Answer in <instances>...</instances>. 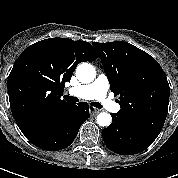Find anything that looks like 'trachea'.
<instances>
[{
	"label": "trachea",
	"mask_w": 178,
	"mask_h": 178,
	"mask_svg": "<svg viewBox=\"0 0 178 178\" xmlns=\"http://www.w3.org/2000/svg\"><path fill=\"white\" fill-rule=\"evenodd\" d=\"M64 98L67 102H79V99L77 97L66 95V96H64ZM90 105L94 106L96 108H102V105L98 102H91Z\"/></svg>",
	"instance_id": "obj_1"
}]
</instances>
